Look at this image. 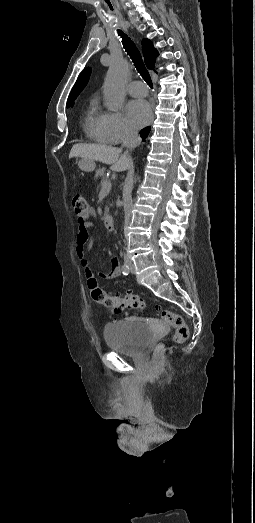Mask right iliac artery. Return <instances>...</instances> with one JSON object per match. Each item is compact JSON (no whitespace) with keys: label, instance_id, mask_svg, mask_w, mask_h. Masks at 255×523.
<instances>
[{"label":"right iliac artery","instance_id":"1","mask_svg":"<svg viewBox=\"0 0 255 523\" xmlns=\"http://www.w3.org/2000/svg\"><path fill=\"white\" fill-rule=\"evenodd\" d=\"M121 270H122V273L124 275H128L129 274V267L127 265H123Z\"/></svg>","mask_w":255,"mask_h":523}]
</instances>
